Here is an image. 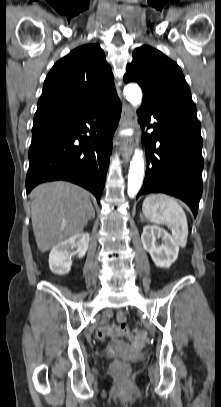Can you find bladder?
<instances>
[{
	"label": "bladder",
	"mask_w": 221,
	"mask_h": 407,
	"mask_svg": "<svg viewBox=\"0 0 221 407\" xmlns=\"http://www.w3.org/2000/svg\"><path fill=\"white\" fill-rule=\"evenodd\" d=\"M125 348V344L120 341H114L110 345V351L112 353H120Z\"/></svg>",
	"instance_id": "31cf9c89"
}]
</instances>
